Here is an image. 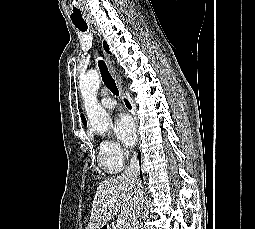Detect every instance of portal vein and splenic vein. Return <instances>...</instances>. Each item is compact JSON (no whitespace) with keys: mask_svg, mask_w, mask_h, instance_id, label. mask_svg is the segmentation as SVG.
<instances>
[{"mask_svg":"<svg viewBox=\"0 0 255 229\" xmlns=\"http://www.w3.org/2000/svg\"><path fill=\"white\" fill-rule=\"evenodd\" d=\"M124 224V219L122 217L117 218L116 226L121 227Z\"/></svg>","mask_w":255,"mask_h":229,"instance_id":"1","label":"portal vein and splenic vein"}]
</instances>
